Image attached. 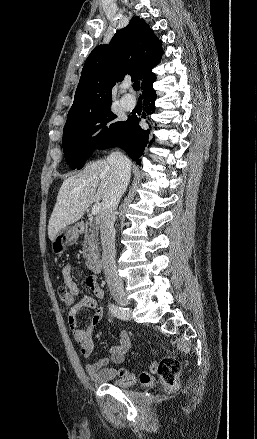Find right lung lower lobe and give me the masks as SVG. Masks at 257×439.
<instances>
[{
    "label": "right lung lower lobe",
    "mask_w": 257,
    "mask_h": 439,
    "mask_svg": "<svg viewBox=\"0 0 257 439\" xmlns=\"http://www.w3.org/2000/svg\"><path fill=\"white\" fill-rule=\"evenodd\" d=\"M156 78L152 79L143 91L144 96V110L146 113L152 114L155 111L156 94L153 90L152 84ZM142 117L145 118L143 115ZM150 124H152L150 122ZM151 127V125H150ZM153 142V136L150 129L144 130L139 126V118L136 116L128 117L123 131L114 138L109 144L100 147L105 149L110 147H121L131 157L136 164L140 165V156H142L145 148L150 146Z\"/></svg>",
    "instance_id": "98d812e1"
}]
</instances>
